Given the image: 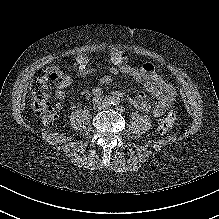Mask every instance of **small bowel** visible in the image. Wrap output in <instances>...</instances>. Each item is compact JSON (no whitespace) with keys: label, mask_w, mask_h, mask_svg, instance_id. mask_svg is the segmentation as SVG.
Masks as SVG:
<instances>
[{"label":"small bowel","mask_w":219,"mask_h":219,"mask_svg":"<svg viewBox=\"0 0 219 219\" xmlns=\"http://www.w3.org/2000/svg\"><path fill=\"white\" fill-rule=\"evenodd\" d=\"M112 66L108 68L110 74L100 78L101 84H109L114 80L115 75L123 74L131 77L135 82L141 84L146 93H139L135 97H128L129 102L138 110L152 111L155 117H161L171 106L176 97L174 86L165 81L156 71L151 63H145L142 66L128 64V57L124 51L114 49L110 53ZM86 62L82 61L81 56L76 59L74 69L79 75L86 73ZM73 85L71 76L61 72L59 80L55 87V97L57 99L56 108L61 109V101L66 98L65 89ZM96 97L103 94L101 88H95L93 91ZM116 95L124 97L122 91H116Z\"/></svg>","instance_id":"small-bowel-1"}]
</instances>
